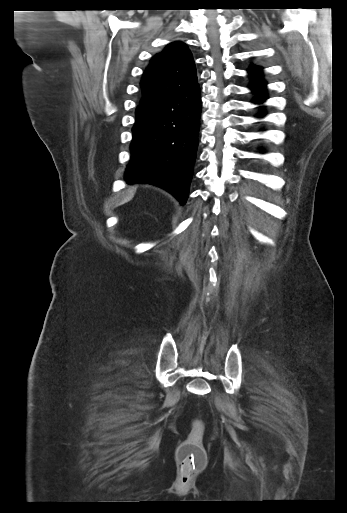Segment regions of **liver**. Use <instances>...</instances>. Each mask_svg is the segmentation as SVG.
Segmentation results:
<instances>
[{
    "label": "liver",
    "instance_id": "liver-1",
    "mask_svg": "<svg viewBox=\"0 0 347 513\" xmlns=\"http://www.w3.org/2000/svg\"><path fill=\"white\" fill-rule=\"evenodd\" d=\"M134 196V189L130 190L128 195L120 202V204H124L128 201H130Z\"/></svg>",
    "mask_w": 347,
    "mask_h": 513
}]
</instances>
